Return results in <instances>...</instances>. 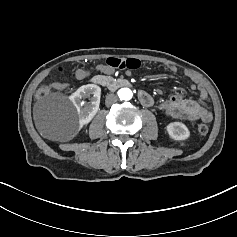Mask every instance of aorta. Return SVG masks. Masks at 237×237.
<instances>
[{
	"label": "aorta",
	"mask_w": 237,
	"mask_h": 237,
	"mask_svg": "<svg viewBox=\"0 0 237 237\" xmlns=\"http://www.w3.org/2000/svg\"><path fill=\"white\" fill-rule=\"evenodd\" d=\"M118 96L121 100H130L133 96L131 89L129 88H121L118 90Z\"/></svg>",
	"instance_id": "762f6f07"
}]
</instances>
